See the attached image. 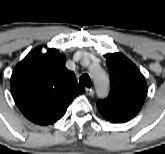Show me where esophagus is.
<instances>
[{"label":"esophagus","mask_w":165,"mask_h":154,"mask_svg":"<svg viewBox=\"0 0 165 154\" xmlns=\"http://www.w3.org/2000/svg\"><path fill=\"white\" fill-rule=\"evenodd\" d=\"M86 94L89 96H93L94 95V90L92 88H86Z\"/></svg>","instance_id":"obj_1"}]
</instances>
